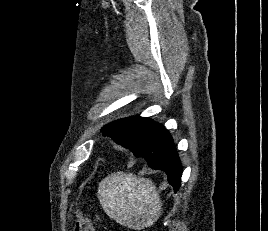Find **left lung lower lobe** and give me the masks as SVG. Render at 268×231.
Masks as SVG:
<instances>
[{"mask_svg":"<svg viewBox=\"0 0 268 231\" xmlns=\"http://www.w3.org/2000/svg\"><path fill=\"white\" fill-rule=\"evenodd\" d=\"M104 134V133H103ZM130 149L136 157L144 158L153 169L163 170L168 182L176 192L181 182L182 169L170 133L161 126L159 130L143 144H136Z\"/></svg>","mask_w":268,"mask_h":231,"instance_id":"left-lung-lower-lobe-1","label":"left lung lower lobe"}]
</instances>
